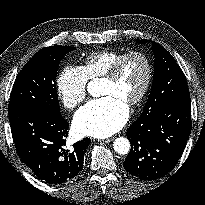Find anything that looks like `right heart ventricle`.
<instances>
[{"label": "right heart ventricle", "mask_w": 205, "mask_h": 205, "mask_svg": "<svg viewBox=\"0 0 205 205\" xmlns=\"http://www.w3.org/2000/svg\"><path fill=\"white\" fill-rule=\"evenodd\" d=\"M123 54V52L108 50L90 53L85 57L81 69L87 80L101 78Z\"/></svg>", "instance_id": "e07e8e85"}]
</instances>
